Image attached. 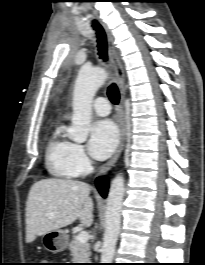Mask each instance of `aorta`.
Listing matches in <instances>:
<instances>
[{"label":"aorta","mask_w":205,"mask_h":265,"mask_svg":"<svg viewBox=\"0 0 205 265\" xmlns=\"http://www.w3.org/2000/svg\"><path fill=\"white\" fill-rule=\"evenodd\" d=\"M106 78L107 73L102 68L82 67L80 69L73 91L72 126L67 131L71 140L78 143L87 140L91 124L92 101ZM124 191V177L122 174H117L112 180L107 198L101 263H112L113 261L121 227Z\"/></svg>","instance_id":"aorta-1"}]
</instances>
